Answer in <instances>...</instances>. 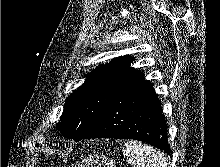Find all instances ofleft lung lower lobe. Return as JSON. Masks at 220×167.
<instances>
[{"label":"left lung lower lobe","mask_w":220,"mask_h":167,"mask_svg":"<svg viewBox=\"0 0 220 167\" xmlns=\"http://www.w3.org/2000/svg\"><path fill=\"white\" fill-rule=\"evenodd\" d=\"M91 138L140 140L170 154L166 119L152 85L140 78L123 89L82 139Z\"/></svg>","instance_id":"1"}]
</instances>
